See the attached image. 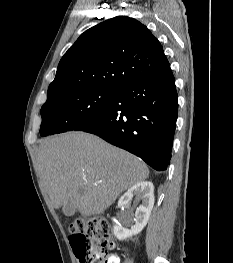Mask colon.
I'll return each mask as SVG.
<instances>
[{"label": "colon", "mask_w": 233, "mask_h": 263, "mask_svg": "<svg viewBox=\"0 0 233 263\" xmlns=\"http://www.w3.org/2000/svg\"><path fill=\"white\" fill-rule=\"evenodd\" d=\"M70 245L80 263H105L114 248L109 222L101 216L77 218L70 225Z\"/></svg>", "instance_id": "1"}]
</instances>
